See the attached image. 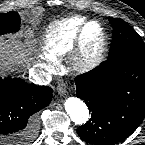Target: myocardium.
Wrapping results in <instances>:
<instances>
[{
  "mask_svg": "<svg viewBox=\"0 0 145 145\" xmlns=\"http://www.w3.org/2000/svg\"><path fill=\"white\" fill-rule=\"evenodd\" d=\"M90 25L98 26L101 40L98 48L93 54H88L85 48L84 35ZM108 36L104 26L97 20L85 21L79 28L75 39V45L71 53V67L79 73H87L97 68L104 60L107 52Z\"/></svg>",
  "mask_w": 145,
  "mask_h": 145,
  "instance_id": "myocardium-1",
  "label": "myocardium"
}]
</instances>
